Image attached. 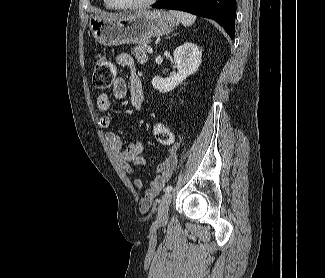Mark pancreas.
<instances>
[{"label": "pancreas", "mask_w": 325, "mask_h": 278, "mask_svg": "<svg viewBox=\"0 0 325 278\" xmlns=\"http://www.w3.org/2000/svg\"><path fill=\"white\" fill-rule=\"evenodd\" d=\"M149 41H146L142 44H139L137 46H135L132 49V54L135 56V59L140 62V63H146L148 60V56H147V48Z\"/></svg>", "instance_id": "cf45deb5"}]
</instances>
